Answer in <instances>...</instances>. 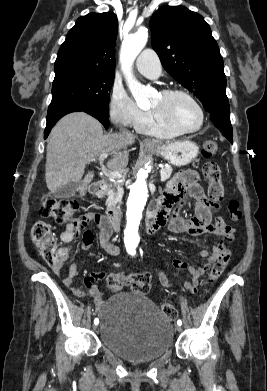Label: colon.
Masks as SVG:
<instances>
[{
  "mask_svg": "<svg viewBox=\"0 0 267 391\" xmlns=\"http://www.w3.org/2000/svg\"><path fill=\"white\" fill-rule=\"evenodd\" d=\"M218 144L212 139L203 143L202 154L205 158H211L218 152ZM203 173L208 181V196L213 202L221 201L225 196V186L221 178V169L217 163L208 161L203 166ZM78 209V203L69 199H57L54 197H45L42 201L40 214L45 218H51L60 224H70L77 222L80 218L74 217ZM230 218L238 221L242 213L239 202L235 199L228 203ZM31 237L34 245L41 253L45 262L51 267H55L59 262L58 246L56 238L45 221H38L33 225ZM230 253L224 251L211 267L206 278L207 284H213L222 275L228 261ZM125 284H130L133 292L147 294L150 290V274L147 272L134 273L127 278L122 276H111L108 279V287L112 292H118ZM162 312L169 321L177 318V310L171 304H164Z\"/></svg>",
  "mask_w": 267,
  "mask_h": 391,
  "instance_id": "1",
  "label": "colon"
}]
</instances>
